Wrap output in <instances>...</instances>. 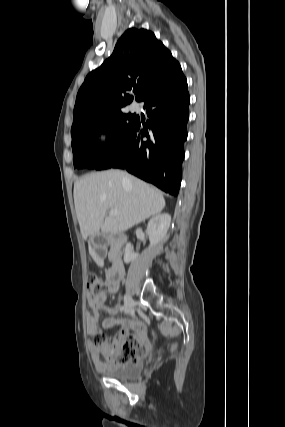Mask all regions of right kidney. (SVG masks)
<instances>
[{"label":"right kidney","mask_w":285,"mask_h":427,"mask_svg":"<svg viewBox=\"0 0 285 427\" xmlns=\"http://www.w3.org/2000/svg\"><path fill=\"white\" fill-rule=\"evenodd\" d=\"M170 223L171 216L167 213L158 214L149 220L147 226V234L149 235L150 240L149 249L164 241L170 227ZM137 257L138 254L133 252L131 244H127L124 253V262H133Z\"/></svg>","instance_id":"ca27d5eb"}]
</instances>
